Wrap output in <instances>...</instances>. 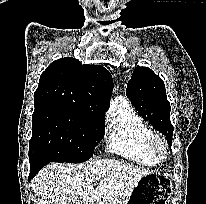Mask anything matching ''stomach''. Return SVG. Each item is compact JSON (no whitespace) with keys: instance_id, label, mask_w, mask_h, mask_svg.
Instances as JSON below:
<instances>
[{"instance_id":"1","label":"stomach","mask_w":206,"mask_h":204,"mask_svg":"<svg viewBox=\"0 0 206 204\" xmlns=\"http://www.w3.org/2000/svg\"><path fill=\"white\" fill-rule=\"evenodd\" d=\"M172 182L166 175L150 172L142 176L124 204H169Z\"/></svg>"}]
</instances>
